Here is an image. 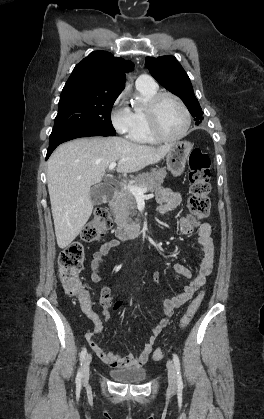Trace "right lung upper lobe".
Returning a JSON list of instances; mask_svg holds the SVG:
<instances>
[{"instance_id":"obj_1","label":"right lung upper lobe","mask_w":264,"mask_h":419,"mask_svg":"<svg viewBox=\"0 0 264 419\" xmlns=\"http://www.w3.org/2000/svg\"><path fill=\"white\" fill-rule=\"evenodd\" d=\"M131 61L116 58L107 51H95L78 63L66 87L82 86L87 89L120 94L125 87V72L133 69Z\"/></svg>"}]
</instances>
